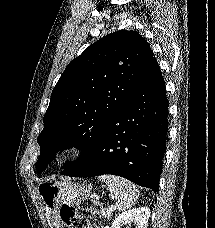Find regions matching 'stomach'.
Wrapping results in <instances>:
<instances>
[{
  "label": "stomach",
  "instance_id": "obj_1",
  "mask_svg": "<svg viewBox=\"0 0 215 228\" xmlns=\"http://www.w3.org/2000/svg\"><path fill=\"white\" fill-rule=\"evenodd\" d=\"M93 192L91 184L79 186L73 182H41L38 194L46 212L50 228H64L61 204H71L80 196H87Z\"/></svg>",
  "mask_w": 215,
  "mask_h": 228
}]
</instances>
